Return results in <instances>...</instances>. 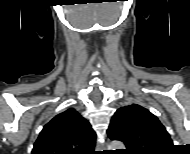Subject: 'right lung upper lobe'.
<instances>
[{"label":"right lung upper lobe","instance_id":"right-lung-upper-lobe-1","mask_svg":"<svg viewBox=\"0 0 190 154\" xmlns=\"http://www.w3.org/2000/svg\"><path fill=\"white\" fill-rule=\"evenodd\" d=\"M95 139L90 123L69 108L44 126L32 154H89L94 150Z\"/></svg>","mask_w":190,"mask_h":154}]
</instances>
